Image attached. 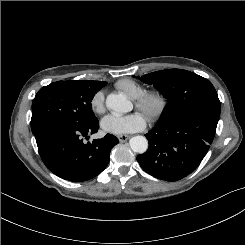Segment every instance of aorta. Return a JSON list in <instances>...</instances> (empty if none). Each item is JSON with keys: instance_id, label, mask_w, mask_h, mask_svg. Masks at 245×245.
Listing matches in <instances>:
<instances>
[{"instance_id": "obj_1", "label": "aorta", "mask_w": 245, "mask_h": 245, "mask_svg": "<svg viewBox=\"0 0 245 245\" xmlns=\"http://www.w3.org/2000/svg\"><path fill=\"white\" fill-rule=\"evenodd\" d=\"M106 106L113 114L120 115L129 110V102L123 95L109 94L106 99ZM131 149L136 153H144L148 148V141L144 136H134L129 140Z\"/></svg>"}]
</instances>
